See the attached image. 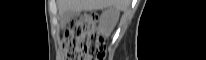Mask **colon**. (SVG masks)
Masks as SVG:
<instances>
[{
	"mask_svg": "<svg viewBox=\"0 0 206 60\" xmlns=\"http://www.w3.org/2000/svg\"><path fill=\"white\" fill-rule=\"evenodd\" d=\"M98 17L86 14L69 23L63 38L66 60H102L106 50L97 30Z\"/></svg>",
	"mask_w": 206,
	"mask_h": 60,
	"instance_id": "colon-1",
	"label": "colon"
}]
</instances>
